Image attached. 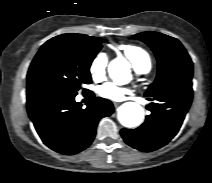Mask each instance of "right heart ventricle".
<instances>
[{
  "label": "right heart ventricle",
  "mask_w": 212,
  "mask_h": 183,
  "mask_svg": "<svg viewBox=\"0 0 212 183\" xmlns=\"http://www.w3.org/2000/svg\"><path fill=\"white\" fill-rule=\"evenodd\" d=\"M117 49L130 61L138 72H148L151 69L152 60L144 48L133 44H120Z\"/></svg>",
  "instance_id": "obj_1"
}]
</instances>
